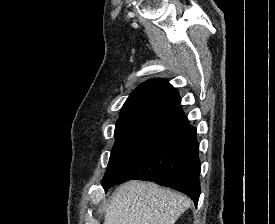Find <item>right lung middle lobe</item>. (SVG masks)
Listing matches in <instances>:
<instances>
[{"mask_svg":"<svg viewBox=\"0 0 275 224\" xmlns=\"http://www.w3.org/2000/svg\"><path fill=\"white\" fill-rule=\"evenodd\" d=\"M164 114L165 112L161 111H143L118 119L115 129L116 142L103 181L110 179L119 170Z\"/></svg>","mask_w":275,"mask_h":224,"instance_id":"dd1d6c3e","label":"right lung middle lobe"}]
</instances>
